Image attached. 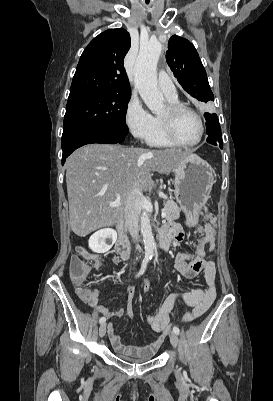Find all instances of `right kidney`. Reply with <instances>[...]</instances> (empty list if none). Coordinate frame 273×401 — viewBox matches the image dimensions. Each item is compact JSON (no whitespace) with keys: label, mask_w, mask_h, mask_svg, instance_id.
Here are the masks:
<instances>
[{"label":"right kidney","mask_w":273,"mask_h":401,"mask_svg":"<svg viewBox=\"0 0 273 401\" xmlns=\"http://www.w3.org/2000/svg\"><path fill=\"white\" fill-rule=\"evenodd\" d=\"M117 233L114 229H100L94 235H91L88 243L89 249L94 253H107L116 243Z\"/></svg>","instance_id":"obj_1"}]
</instances>
